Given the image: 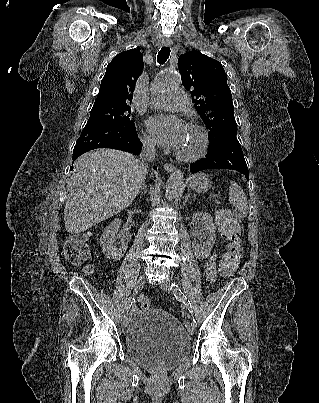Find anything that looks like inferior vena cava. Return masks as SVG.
Wrapping results in <instances>:
<instances>
[{
  "label": "inferior vena cava",
  "mask_w": 319,
  "mask_h": 403,
  "mask_svg": "<svg viewBox=\"0 0 319 403\" xmlns=\"http://www.w3.org/2000/svg\"><path fill=\"white\" fill-rule=\"evenodd\" d=\"M156 156V145L150 140H143L141 157L147 161H153Z\"/></svg>",
  "instance_id": "obj_1"
}]
</instances>
